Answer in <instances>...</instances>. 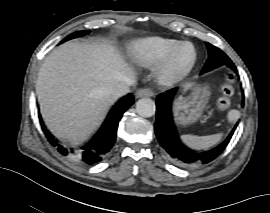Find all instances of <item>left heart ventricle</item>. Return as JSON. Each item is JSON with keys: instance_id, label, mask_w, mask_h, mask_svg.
<instances>
[{"instance_id": "obj_1", "label": "left heart ventricle", "mask_w": 270, "mask_h": 213, "mask_svg": "<svg viewBox=\"0 0 270 213\" xmlns=\"http://www.w3.org/2000/svg\"><path fill=\"white\" fill-rule=\"evenodd\" d=\"M192 51L190 46L188 45H183L182 47L179 48L176 54V60L179 64H183L187 62L190 57H191Z\"/></svg>"}]
</instances>
